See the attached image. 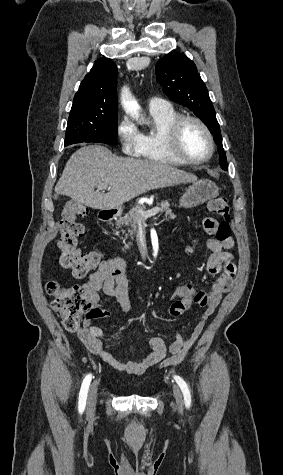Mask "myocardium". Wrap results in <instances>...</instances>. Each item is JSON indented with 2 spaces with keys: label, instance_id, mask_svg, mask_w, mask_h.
<instances>
[{
  "label": "myocardium",
  "instance_id": "myocardium-1",
  "mask_svg": "<svg viewBox=\"0 0 283 475\" xmlns=\"http://www.w3.org/2000/svg\"><path fill=\"white\" fill-rule=\"evenodd\" d=\"M189 121H192L198 124L200 128L203 130L204 134L206 135L208 143H209L208 153L201 158H188V157L174 158V157L169 156L168 153L166 152V144L167 143L177 144L179 142L180 133H181V129L183 125ZM158 152L165 162H206L210 160L215 153V141L210 129L207 127V125L204 123L203 120L195 116L180 115L168 124L165 131V135L161 137L158 143Z\"/></svg>",
  "mask_w": 283,
  "mask_h": 475
}]
</instances>
